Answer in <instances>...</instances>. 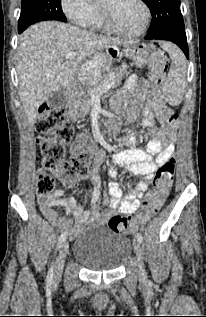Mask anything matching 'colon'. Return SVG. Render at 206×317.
I'll list each match as a JSON object with an SVG mask.
<instances>
[{"label": "colon", "instance_id": "obj_1", "mask_svg": "<svg viewBox=\"0 0 206 317\" xmlns=\"http://www.w3.org/2000/svg\"><path fill=\"white\" fill-rule=\"evenodd\" d=\"M168 67L167 57L162 51H155L149 61L150 80L154 86L160 88L165 80ZM165 123L176 128L179 118L175 112L167 115ZM36 130L41 148V168L37 181V195L39 198L49 196L55 187L54 178L46 171L54 174L62 183L75 182L89 175L90 166L94 160V144L92 138L81 135L75 142L72 156L68 157L66 150L73 140L74 127L65 112L57 107L44 105L41 108ZM176 167V160L170 158L160 166L153 178V189L146 196L141 211L136 217L128 215L111 216L107 225L119 233H133L144 226L162 207L168 195Z\"/></svg>", "mask_w": 206, "mask_h": 317}]
</instances>
